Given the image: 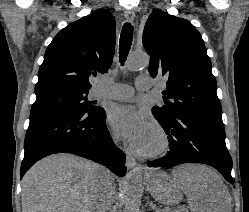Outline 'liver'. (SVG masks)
<instances>
[{
  "mask_svg": "<svg viewBox=\"0 0 249 212\" xmlns=\"http://www.w3.org/2000/svg\"><path fill=\"white\" fill-rule=\"evenodd\" d=\"M98 172V164L72 154L43 158L22 180V212H93ZM144 178L147 192L165 206L180 204L185 194L191 212H231L227 186L207 166L183 164L172 176L152 168Z\"/></svg>",
  "mask_w": 249,
  "mask_h": 212,
  "instance_id": "1",
  "label": "liver"
}]
</instances>
